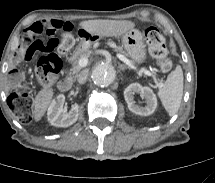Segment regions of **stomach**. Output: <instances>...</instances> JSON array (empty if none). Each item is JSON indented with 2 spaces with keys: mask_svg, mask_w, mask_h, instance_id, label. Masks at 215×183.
I'll use <instances>...</instances> for the list:
<instances>
[{
  "mask_svg": "<svg viewBox=\"0 0 215 183\" xmlns=\"http://www.w3.org/2000/svg\"><path fill=\"white\" fill-rule=\"evenodd\" d=\"M122 44L126 53L131 59L138 64L145 62L146 46L144 44V38L142 33L137 29H131L130 31L121 35ZM98 41V38L94 35L89 36L88 39L83 38L79 45L75 49V53H82L89 49V47Z\"/></svg>",
  "mask_w": 215,
  "mask_h": 183,
  "instance_id": "stomach-1",
  "label": "stomach"
}]
</instances>
